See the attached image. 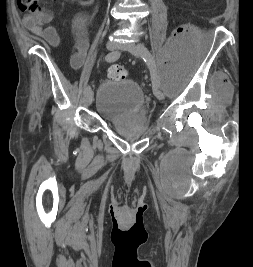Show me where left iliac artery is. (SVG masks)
<instances>
[{
  "instance_id": "left-iliac-artery-1",
  "label": "left iliac artery",
  "mask_w": 253,
  "mask_h": 267,
  "mask_svg": "<svg viewBox=\"0 0 253 267\" xmlns=\"http://www.w3.org/2000/svg\"><path fill=\"white\" fill-rule=\"evenodd\" d=\"M138 49L141 53V57L143 58V60L146 62V64L149 66V68L151 69V79H152V85L153 87H160V82L158 79V76L155 72V60L153 58H151L150 56H148L147 54V48L144 44L139 43L138 44Z\"/></svg>"
}]
</instances>
